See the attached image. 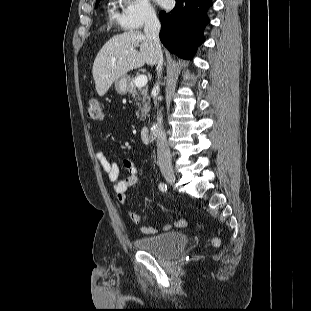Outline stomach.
Returning <instances> with one entry per match:
<instances>
[{"label":"stomach","instance_id":"obj_1","mask_svg":"<svg viewBox=\"0 0 311 311\" xmlns=\"http://www.w3.org/2000/svg\"><path fill=\"white\" fill-rule=\"evenodd\" d=\"M129 79L127 75H124L114 82L117 93L125 95L128 92Z\"/></svg>","mask_w":311,"mask_h":311}]
</instances>
